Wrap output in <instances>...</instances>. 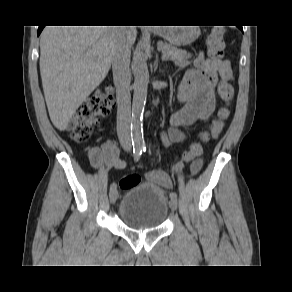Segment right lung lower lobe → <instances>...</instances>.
Listing matches in <instances>:
<instances>
[{"instance_id":"right-lung-lower-lobe-1","label":"right lung lower lobe","mask_w":292,"mask_h":292,"mask_svg":"<svg viewBox=\"0 0 292 292\" xmlns=\"http://www.w3.org/2000/svg\"><path fill=\"white\" fill-rule=\"evenodd\" d=\"M44 26H39L38 28V35L41 33V31L43 30Z\"/></svg>"}]
</instances>
